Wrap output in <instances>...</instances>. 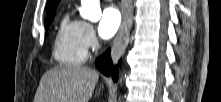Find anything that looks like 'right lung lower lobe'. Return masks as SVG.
Listing matches in <instances>:
<instances>
[{"mask_svg": "<svg viewBox=\"0 0 221 102\" xmlns=\"http://www.w3.org/2000/svg\"><path fill=\"white\" fill-rule=\"evenodd\" d=\"M120 63V62H119ZM98 69L106 76L112 74L114 81L118 80L119 72L118 66L113 67L110 57V50H107L97 61Z\"/></svg>", "mask_w": 221, "mask_h": 102, "instance_id": "right-lung-lower-lobe-1", "label": "right lung lower lobe"}]
</instances>
